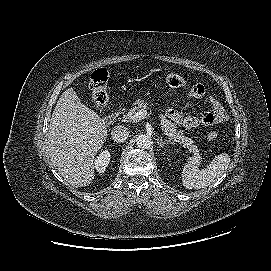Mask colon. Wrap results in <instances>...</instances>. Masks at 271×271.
<instances>
[{
	"label": "colon",
	"instance_id": "obj_1",
	"mask_svg": "<svg viewBox=\"0 0 271 271\" xmlns=\"http://www.w3.org/2000/svg\"><path fill=\"white\" fill-rule=\"evenodd\" d=\"M166 84L173 88H182L186 86V80L177 74H167L164 78ZM108 73L104 69L94 71L89 79V88L91 90V100L94 107L102 109L108 102L107 89ZM210 139L216 138V133L209 134Z\"/></svg>",
	"mask_w": 271,
	"mask_h": 271
}]
</instances>
